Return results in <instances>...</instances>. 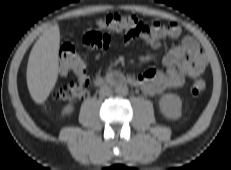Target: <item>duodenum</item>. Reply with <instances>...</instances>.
Segmentation results:
<instances>
[{"label": "duodenum", "instance_id": "1", "mask_svg": "<svg viewBox=\"0 0 231 170\" xmlns=\"http://www.w3.org/2000/svg\"><path fill=\"white\" fill-rule=\"evenodd\" d=\"M110 83L112 85H122V84H127V83H132L130 80L124 78L121 74L119 73H113L109 76V79L106 80L104 78H98L94 81V85L96 87H102L107 83Z\"/></svg>", "mask_w": 231, "mask_h": 170}]
</instances>
